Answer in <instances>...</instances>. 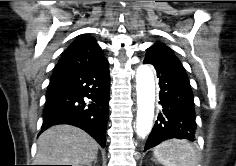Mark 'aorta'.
<instances>
[{"label":"aorta","instance_id":"762f6f07","mask_svg":"<svg viewBox=\"0 0 236 166\" xmlns=\"http://www.w3.org/2000/svg\"><path fill=\"white\" fill-rule=\"evenodd\" d=\"M137 119L136 130L139 137L150 133L154 117L155 81L151 68L140 65L136 74Z\"/></svg>","mask_w":236,"mask_h":166}]
</instances>
